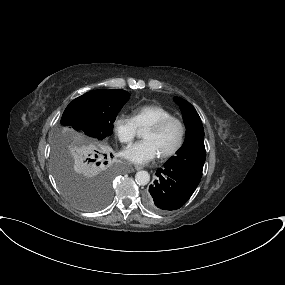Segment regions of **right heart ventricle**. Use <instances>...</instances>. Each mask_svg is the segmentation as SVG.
<instances>
[{
    "label": "right heart ventricle",
    "mask_w": 285,
    "mask_h": 285,
    "mask_svg": "<svg viewBox=\"0 0 285 285\" xmlns=\"http://www.w3.org/2000/svg\"><path fill=\"white\" fill-rule=\"evenodd\" d=\"M171 116L172 114L167 109L157 104L143 105L133 111V119L138 129H146L152 124Z\"/></svg>",
    "instance_id": "right-heart-ventricle-1"
}]
</instances>
